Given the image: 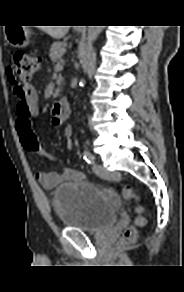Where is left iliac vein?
Wrapping results in <instances>:
<instances>
[{
	"mask_svg": "<svg viewBox=\"0 0 184 292\" xmlns=\"http://www.w3.org/2000/svg\"><path fill=\"white\" fill-rule=\"evenodd\" d=\"M93 171L95 174H97L100 178L103 179H113L115 177V174L112 172H109L105 167L99 165V164H93Z\"/></svg>",
	"mask_w": 184,
	"mask_h": 292,
	"instance_id": "1",
	"label": "left iliac vein"
}]
</instances>
